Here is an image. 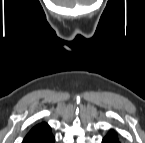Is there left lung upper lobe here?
I'll list each match as a JSON object with an SVG mask.
<instances>
[{"mask_svg":"<svg viewBox=\"0 0 145 143\" xmlns=\"http://www.w3.org/2000/svg\"><path fill=\"white\" fill-rule=\"evenodd\" d=\"M108 136H111V137L116 138V135H115V133H114V130H110Z\"/></svg>","mask_w":145,"mask_h":143,"instance_id":"5c2ea615","label":"left lung upper lobe"}]
</instances>
